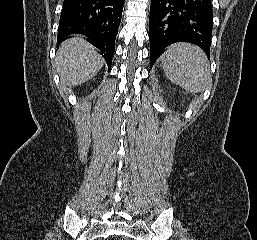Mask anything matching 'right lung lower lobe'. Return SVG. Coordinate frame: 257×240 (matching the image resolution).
Instances as JSON below:
<instances>
[{"mask_svg":"<svg viewBox=\"0 0 257 240\" xmlns=\"http://www.w3.org/2000/svg\"><path fill=\"white\" fill-rule=\"evenodd\" d=\"M124 0H64L57 36L58 45L70 34H82L98 48L111 67L114 43Z\"/></svg>","mask_w":257,"mask_h":240,"instance_id":"right-lung-lower-lobe-1","label":"right lung lower lobe"}]
</instances>
